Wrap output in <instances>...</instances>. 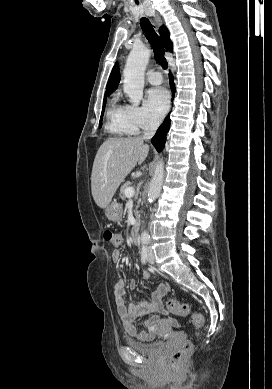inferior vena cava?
Returning a JSON list of instances; mask_svg holds the SVG:
<instances>
[{"mask_svg":"<svg viewBox=\"0 0 272 389\" xmlns=\"http://www.w3.org/2000/svg\"><path fill=\"white\" fill-rule=\"evenodd\" d=\"M159 125H160V121L155 119L149 120L144 127L143 139L152 138Z\"/></svg>","mask_w":272,"mask_h":389,"instance_id":"602c4592","label":"inferior vena cava"}]
</instances>
